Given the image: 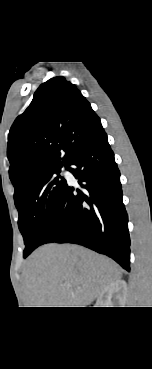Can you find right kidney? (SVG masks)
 Instances as JSON below:
<instances>
[{"label":"right kidney","mask_w":152,"mask_h":369,"mask_svg":"<svg viewBox=\"0 0 152 369\" xmlns=\"http://www.w3.org/2000/svg\"><path fill=\"white\" fill-rule=\"evenodd\" d=\"M127 290V283L124 280H117L101 292L96 304L98 307H124Z\"/></svg>","instance_id":"ca27d5eb"}]
</instances>
